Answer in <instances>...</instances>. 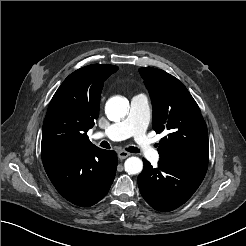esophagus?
<instances>
[{"instance_id": "1", "label": "esophagus", "mask_w": 246, "mask_h": 246, "mask_svg": "<svg viewBox=\"0 0 246 246\" xmlns=\"http://www.w3.org/2000/svg\"><path fill=\"white\" fill-rule=\"evenodd\" d=\"M130 155H131V154L128 153V152H126V151H119V152H118V158H119L120 160H123V159L129 157Z\"/></svg>"}]
</instances>
